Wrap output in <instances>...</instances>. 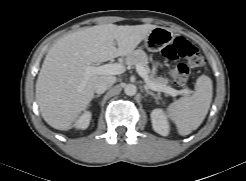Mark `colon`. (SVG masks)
I'll return each mask as SVG.
<instances>
[{
  "label": "colon",
  "mask_w": 246,
  "mask_h": 181,
  "mask_svg": "<svg viewBox=\"0 0 246 181\" xmlns=\"http://www.w3.org/2000/svg\"><path fill=\"white\" fill-rule=\"evenodd\" d=\"M162 56L167 62L175 63L172 68L175 83L183 86L189 78V68L186 64L178 62L185 58L191 67L199 68L205 63L204 57L198 48L184 37H177L171 44L162 50Z\"/></svg>",
  "instance_id": "obj_1"
}]
</instances>
